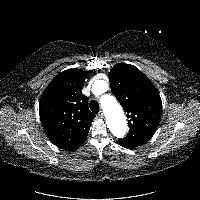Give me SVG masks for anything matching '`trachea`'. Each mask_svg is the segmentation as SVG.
Listing matches in <instances>:
<instances>
[{
  "instance_id": "1",
  "label": "trachea",
  "mask_w": 200,
  "mask_h": 200,
  "mask_svg": "<svg viewBox=\"0 0 200 200\" xmlns=\"http://www.w3.org/2000/svg\"><path fill=\"white\" fill-rule=\"evenodd\" d=\"M90 109L92 112L94 113H98L99 112V103L95 100L90 102Z\"/></svg>"
}]
</instances>
